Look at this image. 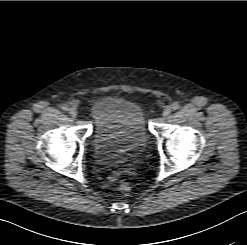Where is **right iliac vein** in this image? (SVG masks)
Returning a JSON list of instances; mask_svg holds the SVG:
<instances>
[{"instance_id":"1","label":"right iliac vein","mask_w":247,"mask_h":245,"mask_svg":"<svg viewBox=\"0 0 247 245\" xmlns=\"http://www.w3.org/2000/svg\"><path fill=\"white\" fill-rule=\"evenodd\" d=\"M69 114H70V116L72 118H76V116H77V110L72 107V108L69 109Z\"/></svg>"}]
</instances>
